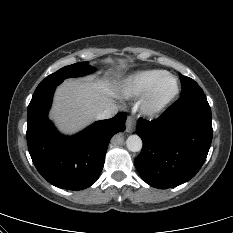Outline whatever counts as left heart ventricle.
Instances as JSON below:
<instances>
[{
    "mask_svg": "<svg viewBox=\"0 0 233 233\" xmlns=\"http://www.w3.org/2000/svg\"><path fill=\"white\" fill-rule=\"evenodd\" d=\"M174 88V83L172 80L166 79L160 86L158 90V97L164 98L169 95Z\"/></svg>",
    "mask_w": 233,
    "mask_h": 233,
    "instance_id": "b2bd125f",
    "label": "left heart ventricle"
}]
</instances>
